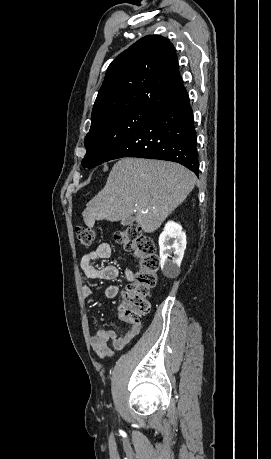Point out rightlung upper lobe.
Listing matches in <instances>:
<instances>
[{
    "mask_svg": "<svg viewBox=\"0 0 271 459\" xmlns=\"http://www.w3.org/2000/svg\"><path fill=\"white\" fill-rule=\"evenodd\" d=\"M184 89L172 43L159 35L143 37L108 67L92 120L134 107L156 111Z\"/></svg>",
    "mask_w": 271,
    "mask_h": 459,
    "instance_id": "right-lung-upper-lobe-1",
    "label": "right lung upper lobe"
}]
</instances>
